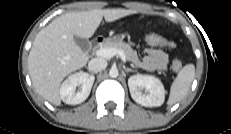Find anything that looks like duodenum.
Instances as JSON below:
<instances>
[{
	"instance_id": "obj_1",
	"label": "duodenum",
	"mask_w": 231,
	"mask_h": 134,
	"mask_svg": "<svg viewBox=\"0 0 231 134\" xmlns=\"http://www.w3.org/2000/svg\"><path fill=\"white\" fill-rule=\"evenodd\" d=\"M103 42H104V39H103V38H101V37L96 38V39H94V40L92 41V46H93L94 48L99 47L100 45L103 44Z\"/></svg>"
}]
</instances>
